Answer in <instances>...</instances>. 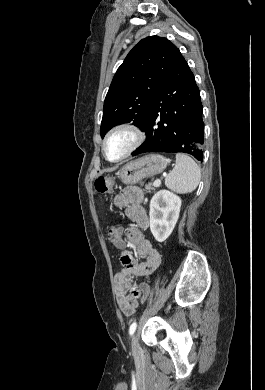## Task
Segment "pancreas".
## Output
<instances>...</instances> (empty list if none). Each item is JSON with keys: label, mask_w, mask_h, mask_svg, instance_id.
Here are the masks:
<instances>
[{"label": "pancreas", "mask_w": 265, "mask_h": 390, "mask_svg": "<svg viewBox=\"0 0 265 390\" xmlns=\"http://www.w3.org/2000/svg\"><path fill=\"white\" fill-rule=\"evenodd\" d=\"M155 187H156V186H154V183H148V184H146L145 189H146L147 191H151V190H153Z\"/></svg>", "instance_id": "pancreas-1"}]
</instances>
